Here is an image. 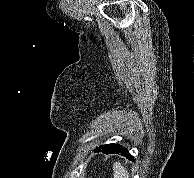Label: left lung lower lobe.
Here are the masks:
<instances>
[{
    "label": "left lung lower lobe",
    "mask_w": 194,
    "mask_h": 178,
    "mask_svg": "<svg viewBox=\"0 0 194 178\" xmlns=\"http://www.w3.org/2000/svg\"><path fill=\"white\" fill-rule=\"evenodd\" d=\"M97 149L99 152L101 151L106 154H115V153L119 154L120 153L121 155L126 156L128 159L134 160V157L130 155L127 149L122 148V146L118 144H106V145L100 146ZM97 149H95V151H97Z\"/></svg>",
    "instance_id": "1"
}]
</instances>
